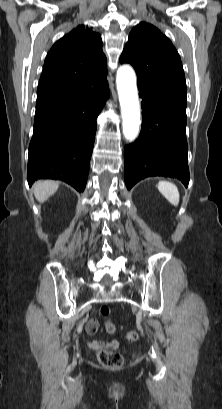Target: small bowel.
<instances>
[{
	"label": "small bowel",
	"instance_id": "c3829d8e",
	"mask_svg": "<svg viewBox=\"0 0 222 409\" xmlns=\"http://www.w3.org/2000/svg\"><path fill=\"white\" fill-rule=\"evenodd\" d=\"M98 330V322L96 320H90L87 324V333L94 334ZM89 347L92 349H106V348H116L118 347V342L113 340L111 342H104L101 340H91L89 341Z\"/></svg>",
	"mask_w": 222,
	"mask_h": 409
}]
</instances>
